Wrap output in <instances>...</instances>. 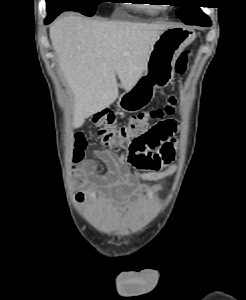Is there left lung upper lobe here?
Masks as SVG:
<instances>
[{
  "mask_svg": "<svg viewBox=\"0 0 246 300\" xmlns=\"http://www.w3.org/2000/svg\"><path fill=\"white\" fill-rule=\"evenodd\" d=\"M184 4L180 6L177 16L185 23L189 25H198L210 23L209 17L204 14L197 4L202 1L199 0H184Z\"/></svg>",
  "mask_w": 246,
  "mask_h": 300,
  "instance_id": "5c2ea615",
  "label": "left lung upper lobe"
}]
</instances>
